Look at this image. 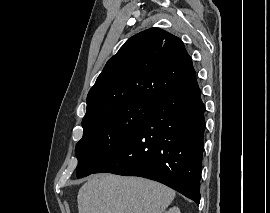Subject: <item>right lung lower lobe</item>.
Instances as JSON below:
<instances>
[{
  "label": "right lung lower lobe",
  "mask_w": 270,
  "mask_h": 213,
  "mask_svg": "<svg viewBox=\"0 0 270 213\" xmlns=\"http://www.w3.org/2000/svg\"><path fill=\"white\" fill-rule=\"evenodd\" d=\"M204 112L194 75L159 101L134 135L94 173L155 180L199 204Z\"/></svg>",
  "instance_id": "1"
}]
</instances>
